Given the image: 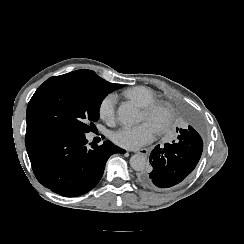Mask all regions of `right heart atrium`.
<instances>
[{
    "label": "right heart atrium",
    "mask_w": 244,
    "mask_h": 244,
    "mask_svg": "<svg viewBox=\"0 0 244 244\" xmlns=\"http://www.w3.org/2000/svg\"><path fill=\"white\" fill-rule=\"evenodd\" d=\"M117 104V95L115 93H108L103 97L99 107V114L102 120L111 124L115 120V109Z\"/></svg>",
    "instance_id": "obj_1"
}]
</instances>
